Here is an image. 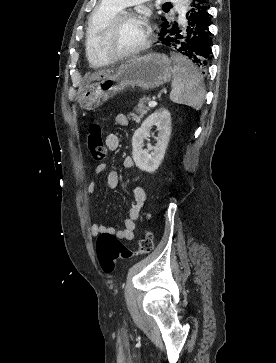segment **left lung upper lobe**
Masks as SVG:
<instances>
[{
  "label": "left lung upper lobe",
  "mask_w": 276,
  "mask_h": 363,
  "mask_svg": "<svg viewBox=\"0 0 276 363\" xmlns=\"http://www.w3.org/2000/svg\"><path fill=\"white\" fill-rule=\"evenodd\" d=\"M162 20L164 21V23L162 24V26L169 24L168 21H165V18H163Z\"/></svg>",
  "instance_id": "left-lung-upper-lobe-1"
}]
</instances>
